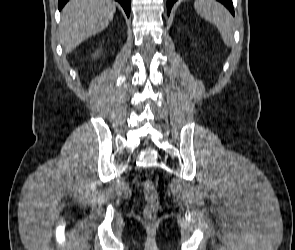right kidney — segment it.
Wrapping results in <instances>:
<instances>
[{"instance_id": "right-kidney-1", "label": "right kidney", "mask_w": 295, "mask_h": 250, "mask_svg": "<svg viewBox=\"0 0 295 250\" xmlns=\"http://www.w3.org/2000/svg\"><path fill=\"white\" fill-rule=\"evenodd\" d=\"M99 55V52L97 51L95 54H94V57H97Z\"/></svg>"}]
</instances>
